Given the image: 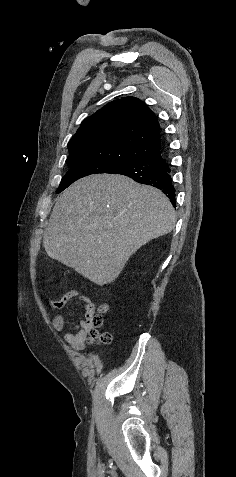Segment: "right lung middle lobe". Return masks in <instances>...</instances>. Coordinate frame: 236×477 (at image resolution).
I'll use <instances>...</instances> for the list:
<instances>
[{
    "label": "right lung middle lobe",
    "instance_id": "right-lung-middle-lobe-1",
    "mask_svg": "<svg viewBox=\"0 0 236 477\" xmlns=\"http://www.w3.org/2000/svg\"><path fill=\"white\" fill-rule=\"evenodd\" d=\"M140 159H142L140 156H135L131 158V161L136 162ZM67 164L70 169L62 178L57 193L63 191L70 184L82 177L98 173H114L121 167L125 166L121 161L105 158L77 159L67 161Z\"/></svg>",
    "mask_w": 236,
    "mask_h": 477
}]
</instances>
